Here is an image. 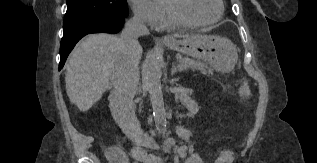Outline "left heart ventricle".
I'll return each instance as SVG.
<instances>
[{"mask_svg":"<svg viewBox=\"0 0 317 163\" xmlns=\"http://www.w3.org/2000/svg\"><path fill=\"white\" fill-rule=\"evenodd\" d=\"M176 6L181 15L191 21L211 20L219 13L217 0H177Z\"/></svg>","mask_w":317,"mask_h":163,"instance_id":"b2bd125f","label":"left heart ventricle"}]
</instances>
